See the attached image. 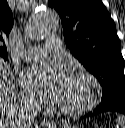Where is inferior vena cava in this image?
<instances>
[{
    "instance_id": "obj_1",
    "label": "inferior vena cava",
    "mask_w": 125,
    "mask_h": 128,
    "mask_svg": "<svg viewBox=\"0 0 125 128\" xmlns=\"http://www.w3.org/2000/svg\"><path fill=\"white\" fill-rule=\"evenodd\" d=\"M39 105L36 102H26L20 110L21 124L18 128H29L34 121Z\"/></svg>"
}]
</instances>
